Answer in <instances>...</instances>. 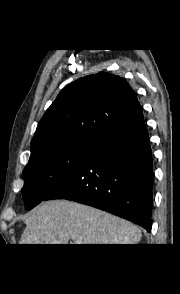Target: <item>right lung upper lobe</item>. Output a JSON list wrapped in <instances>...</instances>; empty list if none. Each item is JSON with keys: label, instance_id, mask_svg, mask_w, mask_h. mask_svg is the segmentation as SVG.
Here are the masks:
<instances>
[{"label": "right lung upper lobe", "instance_id": "1", "mask_svg": "<svg viewBox=\"0 0 180 294\" xmlns=\"http://www.w3.org/2000/svg\"><path fill=\"white\" fill-rule=\"evenodd\" d=\"M139 107L122 78L108 73L81 78L66 86L44 114L31 141V156L70 140L98 141Z\"/></svg>", "mask_w": 180, "mask_h": 294}]
</instances>
